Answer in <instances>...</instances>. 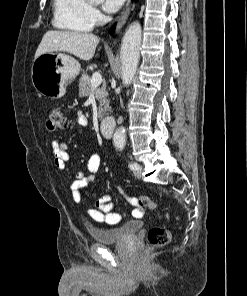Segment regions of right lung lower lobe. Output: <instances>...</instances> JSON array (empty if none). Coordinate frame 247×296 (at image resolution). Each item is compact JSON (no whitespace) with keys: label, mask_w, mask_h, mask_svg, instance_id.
I'll return each instance as SVG.
<instances>
[{"label":"right lung lower lobe","mask_w":247,"mask_h":296,"mask_svg":"<svg viewBox=\"0 0 247 296\" xmlns=\"http://www.w3.org/2000/svg\"><path fill=\"white\" fill-rule=\"evenodd\" d=\"M114 27H115V26H112V27H111V29H110V33H113V31H114Z\"/></svg>","instance_id":"right-lung-lower-lobe-1"}]
</instances>
